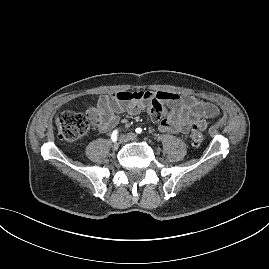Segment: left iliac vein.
<instances>
[{"instance_id": "left-iliac-vein-1", "label": "left iliac vein", "mask_w": 269, "mask_h": 269, "mask_svg": "<svg viewBox=\"0 0 269 269\" xmlns=\"http://www.w3.org/2000/svg\"><path fill=\"white\" fill-rule=\"evenodd\" d=\"M126 137L130 141H136L138 138L137 134L133 132L128 133Z\"/></svg>"}]
</instances>
